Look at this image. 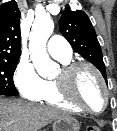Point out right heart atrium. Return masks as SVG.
I'll return each mask as SVG.
<instances>
[{
    "mask_svg": "<svg viewBox=\"0 0 117 131\" xmlns=\"http://www.w3.org/2000/svg\"><path fill=\"white\" fill-rule=\"evenodd\" d=\"M14 83L21 96L36 101L45 89V80L28 62H20L14 72Z\"/></svg>",
    "mask_w": 117,
    "mask_h": 131,
    "instance_id": "1",
    "label": "right heart atrium"
}]
</instances>
